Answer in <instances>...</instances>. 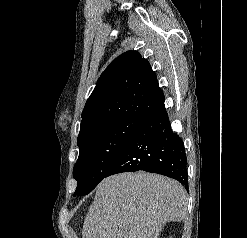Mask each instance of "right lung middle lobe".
<instances>
[{
    "instance_id": "right-lung-middle-lobe-1",
    "label": "right lung middle lobe",
    "mask_w": 247,
    "mask_h": 238,
    "mask_svg": "<svg viewBox=\"0 0 247 238\" xmlns=\"http://www.w3.org/2000/svg\"><path fill=\"white\" fill-rule=\"evenodd\" d=\"M146 119L120 118L78 138L80 149L73 176L78 185L73 196L90 193Z\"/></svg>"
}]
</instances>
